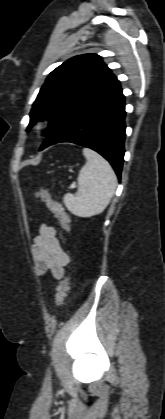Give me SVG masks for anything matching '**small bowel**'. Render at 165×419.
<instances>
[{
	"mask_svg": "<svg viewBox=\"0 0 165 419\" xmlns=\"http://www.w3.org/2000/svg\"><path fill=\"white\" fill-rule=\"evenodd\" d=\"M32 254L38 274L50 272L54 279L65 276V268L70 262L69 255L64 251L53 226L43 224L39 235L32 244Z\"/></svg>",
	"mask_w": 165,
	"mask_h": 419,
	"instance_id": "obj_1",
	"label": "small bowel"
}]
</instances>
